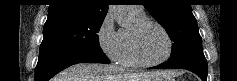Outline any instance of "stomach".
Masks as SVG:
<instances>
[{
	"instance_id": "obj_1",
	"label": "stomach",
	"mask_w": 237,
	"mask_h": 81,
	"mask_svg": "<svg viewBox=\"0 0 237 81\" xmlns=\"http://www.w3.org/2000/svg\"><path fill=\"white\" fill-rule=\"evenodd\" d=\"M151 81H173V78L171 76L161 75V76L155 77Z\"/></svg>"
}]
</instances>
